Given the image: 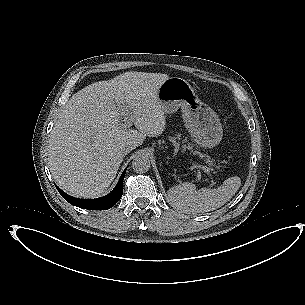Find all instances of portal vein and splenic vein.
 <instances>
[{"label":"portal vein and splenic vein","instance_id":"1","mask_svg":"<svg viewBox=\"0 0 305 305\" xmlns=\"http://www.w3.org/2000/svg\"><path fill=\"white\" fill-rule=\"evenodd\" d=\"M123 122H124V125H125V126L130 127V126L132 125V123L130 122V120H129L128 117H125L124 120H123ZM208 175H210V174H208ZM210 179H211V185L214 186L216 183L213 181V178L211 177V175H210Z\"/></svg>","mask_w":305,"mask_h":305}]
</instances>
